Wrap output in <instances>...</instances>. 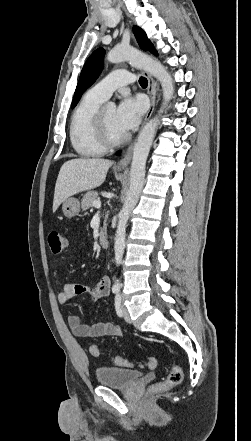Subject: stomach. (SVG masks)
Segmentation results:
<instances>
[{
    "label": "stomach",
    "instance_id": "0dacf381",
    "mask_svg": "<svg viewBox=\"0 0 251 441\" xmlns=\"http://www.w3.org/2000/svg\"><path fill=\"white\" fill-rule=\"evenodd\" d=\"M62 211L65 217L72 218L80 211V202L74 197H68L62 202Z\"/></svg>",
    "mask_w": 251,
    "mask_h": 441
}]
</instances>
